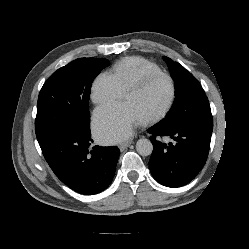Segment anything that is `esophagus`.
I'll use <instances>...</instances> for the list:
<instances>
[{"label": "esophagus", "mask_w": 249, "mask_h": 249, "mask_svg": "<svg viewBox=\"0 0 249 249\" xmlns=\"http://www.w3.org/2000/svg\"><path fill=\"white\" fill-rule=\"evenodd\" d=\"M131 144H132V141L129 140V141L120 143V144L118 145V147H119V149H120L121 151H123V150L127 149Z\"/></svg>", "instance_id": "1"}]
</instances>
